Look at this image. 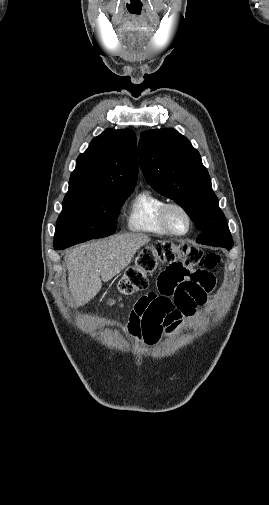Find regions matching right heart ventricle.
Wrapping results in <instances>:
<instances>
[{
  "instance_id": "right-heart-ventricle-1",
  "label": "right heart ventricle",
  "mask_w": 269,
  "mask_h": 505,
  "mask_svg": "<svg viewBox=\"0 0 269 505\" xmlns=\"http://www.w3.org/2000/svg\"><path fill=\"white\" fill-rule=\"evenodd\" d=\"M165 201L148 189L138 192L131 200L126 223L130 231L154 236L169 235L159 220V210Z\"/></svg>"
}]
</instances>
